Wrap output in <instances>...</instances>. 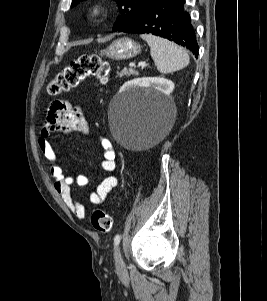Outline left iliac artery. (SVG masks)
Masks as SVG:
<instances>
[{
    "mask_svg": "<svg viewBox=\"0 0 267 301\" xmlns=\"http://www.w3.org/2000/svg\"><path fill=\"white\" fill-rule=\"evenodd\" d=\"M120 240H121V235L117 234L114 237V245L117 246L120 243Z\"/></svg>",
    "mask_w": 267,
    "mask_h": 301,
    "instance_id": "left-iliac-artery-1",
    "label": "left iliac artery"
}]
</instances>
